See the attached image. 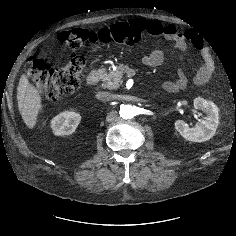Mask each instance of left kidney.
I'll list each match as a JSON object with an SVG mask.
<instances>
[{
    "label": "left kidney",
    "instance_id": "1",
    "mask_svg": "<svg viewBox=\"0 0 236 236\" xmlns=\"http://www.w3.org/2000/svg\"><path fill=\"white\" fill-rule=\"evenodd\" d=\"M195 109L202 110L206 113V117L196 124L195 127H189L182 120L175 122V129L179 134L188 141L204 142L211 139L219 125V109L211 101L197 97L193 101Z\"/></svg>",
    "mask_w": 236,
    "mask_h": 236
}]
</instances>
